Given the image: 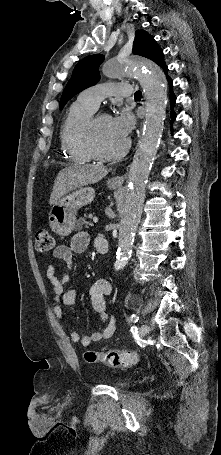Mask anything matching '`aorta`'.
Wrapping results in <instances>:
<instances>
[{
	"mask_svg": "<svg viewBox=\"0 0 221 455\" xmlns=\"http://www.w3.org/2000/svg\"><path fill=\"white\" fill-rule=\"evenodd\" d=\"M103 73L116 78L136 76L146 96V118L139 144L127 180L125 198L119 224L116 268L123 267L131 257L134 236L145 198L146 182L160 145L166 107L167 87L163 71L152 61L141 57H127L106 62Z\"/></svg>",
	"mask_w": 221,
	"mask_h": 455,
	"instance_id": "762f6f07",
	"label": "aorta"
}]
</instances>
